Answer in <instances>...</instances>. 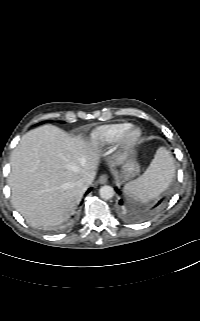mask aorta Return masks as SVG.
Segmentation results:
<instances>
[{"label": "aorta", "mask_w": 200, "mask_h": 321, "mask_svg": "<svg viewBox=\"0 0 200 321\" xmlns=\"http://www.w3.org/2000/svg\"><path fill=\"white\" fill-rule=\"evenodd\" d=\"M99 193L102 199L109 200L114 196L115 191L111 186L105 185L100 188Z\"/></svg>", "instance_id": "obj_1"}]
</instances>
